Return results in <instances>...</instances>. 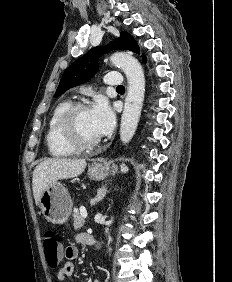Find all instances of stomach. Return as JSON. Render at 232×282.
<instances>
[{
	"mask_svg": "<svg viewBox=\"0 0 232 282\" xmlns=\"http://www.w3.org/2000/svg\"><path fill=\"white\" fill-rule=\"evenodd\" d=\"M116 171L115 166L110 167L94 162L88 167L87 174L90 179L99 181L105 179L109 174L114 175ZM72 205L67 189L60 182L48 186L40 198V209L44 217L54 224H63L67 221Z\"/></svg>",
	"mask_w": 232,
	"mask_h": 282,
	"instance_id": "0dacf381",
	"label": "stomach"
}]
</instances>
